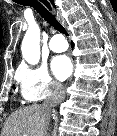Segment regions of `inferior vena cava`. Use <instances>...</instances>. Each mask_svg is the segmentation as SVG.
Returning <instances> with one entry per match:
<instances>
[{"instance_id":"obj_1","label":"inferior vena cava","mask_w":117,"mask_h":136,"mask_svg":"<svg viewBox=\"0 0 117 136\" xmlns=\"http://www.w3.org/2000/svg\"><path fill=\"white\" fill-rule=\"evenodd\" d=\"M65 98V91L63 86L60 83H54L50 95L43 103V107L46 109L45 113L47 114V126H48V136H55L54 130V108L62 102Z\"/></svg>"}]
</instances>
